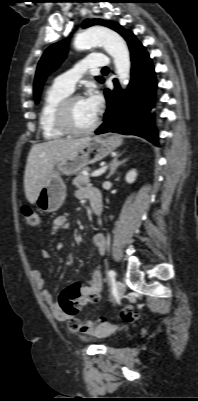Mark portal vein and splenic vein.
<instances>
[{
    "label": "portal vein and splenic vein",
    "instance_id": "18ae733b",
    "mask_svg": "<svg viewBox=\"0 0 198 401\" xmlns=\"http://www.w3.org/2000/svg\"><path fill=\"white\" fill-rule=\"evenodd\" d=\"M107 170V166L102 167L101 169L94 171L91 176L92 177H98L101 176L103 173H105V171Z\"/></svg>",
    "mask_w": 198,
    "mask_h": 401
}]
</instances>
